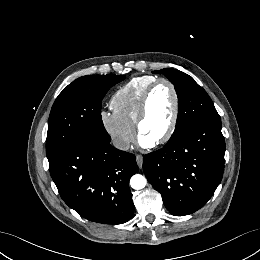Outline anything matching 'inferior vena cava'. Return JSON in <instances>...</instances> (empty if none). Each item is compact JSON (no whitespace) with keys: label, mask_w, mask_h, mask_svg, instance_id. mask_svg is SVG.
<instances>
[{"label":"inferior vena cava","mask_w":260,"mask_h":260,"mask_svg":"<svg viewBox=\"0 0 260 260\" xmlns=\"http://www.w3.org/2000/svg\"><path fill=\"white\" fill-rule=\"evenodd\" d=\"M112 144L114 147L120 150H128L130 147V142L122 139H114Z\"/></svg>","instance_id":"602c4592"}]
</instances>
